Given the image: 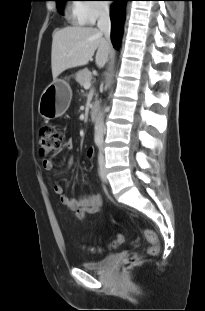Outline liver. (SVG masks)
Listing matches in <instances>:
<instances>
[{"mask_svg":"<svg viewBox=\"0 0 205 311\" xmlns=\"http://www.w3.org/2000/svg\"><path fill=\"white\" fill-rule=\"evenodd\" d=\"M51 68L56 79L69 68L87 65L95 51V63L103 68L111 51L110 43L94 27L70 26L53 33Z\"/></svg>","mask_w":205,"mask_h":311,"instance_id":"1","label":"liver"}]
</instances>
